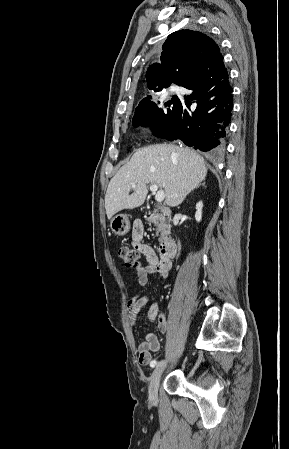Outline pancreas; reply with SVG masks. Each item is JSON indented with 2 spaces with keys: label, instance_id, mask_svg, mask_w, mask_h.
Returning <instances> with one entry per match:
<instances>
[{
  "label": "pancreas",
  "instance_id": "pancreas-1",
  "mask_svg": "<svg viewBox=\"0 0 289 449\" xmlns=\"http://www.w3.org/2000/svg\"><path fill=\"white\" fill-rule=\"evenodd\" d=\"M146 220L149 224H154L156 227L159 241H162L165 238V235L170 232L171 225L162 214L153 213Z\"/></svg>",
  "mask_w": 289,
  "mask_h": 449
}]
</instances>
